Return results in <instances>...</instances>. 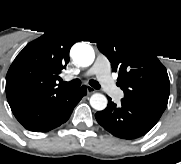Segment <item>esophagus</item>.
Wrapping results in <instances>:
<instances>
[{
	"instance_id": "obj_1",
	"label": "esophagus",
	"mask_w": 181,
	"mask_h": 164,
	"mask_svg": "<svg viewBox=\"0 0 181 164\" xmlns=\"http://www.w3.org/2000/svg\"><path fill=\"white\" fill-rule=\"evenodd\" d=\"M94 92H95L94 88H92L91 86H87V93H88V95H90V94H92Z\"/></svg>"
}]
</instances>
